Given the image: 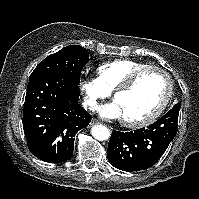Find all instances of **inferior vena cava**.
Returning a JSON list of instances; mask_svg holds the SVG:
<instances>
[{"mask_svg":"<svg viewBox=\"0 0 199 199\" xmlns=\"http://www.w3.org/2000/svg\"><path fill=\"white\" fill-rule=\"evenodd\" d=\"M95 101L94 100H91V99H85L83 102H82V106L83 108H87L88 106L90 107H94L95 106Z\"/></svg>","mask_w":199,"mask_h":199,"instance_id":"inferior-vena-cava-1","label":"inferior vena cava"}]
</instances>
